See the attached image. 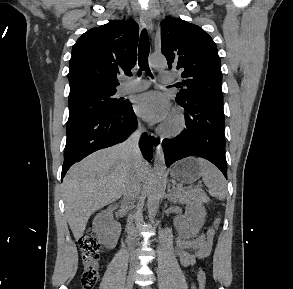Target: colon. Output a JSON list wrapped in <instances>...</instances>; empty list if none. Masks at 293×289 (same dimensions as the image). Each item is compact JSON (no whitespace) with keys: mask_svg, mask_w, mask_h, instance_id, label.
Here are the masks:
<instances>
[{"mask_svg":"<svg viewBox=\"0 0 293 289\" xmlns=\"http://www.w3.org/2000/svg\"><path fill=\"white\" fill-rule=\"evenodd\" d=\"M221 223L220 217L213 221V227L218 228ZM79 248L84 266L81 284L83 289H94L99 274L100 247L93 233L82 236L79 239ZM205 285V273L200 272L197 276V284L193 289H203Z\"/></svg>","mask_w":293,"mask_h":289,"instance_id":"5ec220e1","label":"colon"}]
</instances>
